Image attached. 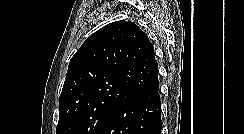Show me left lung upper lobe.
Masks as SVG:
<instances>
[{"mask_svg":"<svg viewBox=\"0 0 244 134\" xmlns=\"http://www.w3.org/2000/svg\"><path fill=\"white\" fill-rule=\"evenodd\" d=\"M158 87V64L147 35L131 22L110 23L70 60L56 134H100L120 104Z\"/></svg>","mask_w":244,"mask_h":134,"instance_id":"left-lung-upper-lobe-1","label":"left lung upper lobe"}]
</instances>
